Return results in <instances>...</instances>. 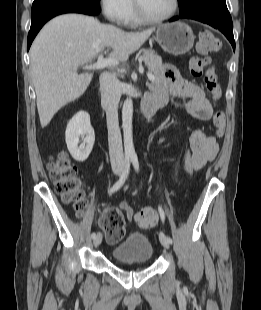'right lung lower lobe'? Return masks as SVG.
Wrapping results in <instances>:
<instances>
[{"label":"right lung lower lobe","instance_id":"obj_1","mask_svg":"<svg viewBox=\"0 0 261 310\" xmlns=\"http://www.w3.org/2000/svg\"><path fill=\"white\" fill-rule=\"evenodd\" d=\"M100 11L101 9L98 5L71 0L50 1L32 8L31 28L28 34L27 49L29 50L33 39L42 26L51 18L64 13L97 15Z\"/></svg>","mask_w":261,"mask_h":310}]
</instances>
